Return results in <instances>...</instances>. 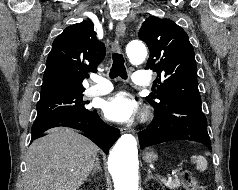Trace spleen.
Instances as JSON below:
<instances>
[{
    "mask_svg": "<svg viewBox=\"0 0 238 190\" xmlns=\"http://www.w3.org/2000/svg\"><path fill=\"white\" fill-rule=\"evenodd\" d=\"M192 159L196 161V167L199 171L203 172L207 169V160L203 156H193Z\"/></svg>",
    "mask_w": 238,
    "mask_h": 190,
    "instance_id": "3e777b00",
    "label": "spleen"
}]
</instances>
